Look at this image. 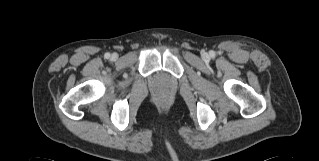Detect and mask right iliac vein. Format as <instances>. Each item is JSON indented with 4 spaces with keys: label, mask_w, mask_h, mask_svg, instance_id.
<instances>
[{
    "label": "right iliac vein",
    "mask_w": 319,
    "mask_h": 161,
    "mask_svg": "<svg viewBox=\"0 0 319 161\" xmlns=\"http://www.w3.org/2000/svg\"><path fill=\"white\" fill-rule=\"evenodd\" d=\"M117 55L116 54H113L112 55V59H116Z\"/></svg>",
    "instance_id": "right-iliac-vein-1"
}]
</instances>
